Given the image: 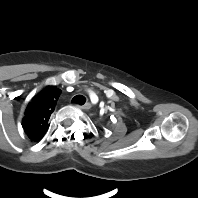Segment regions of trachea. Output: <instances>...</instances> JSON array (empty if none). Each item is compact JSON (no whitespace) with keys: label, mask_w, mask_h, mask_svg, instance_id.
I'll return each mask as SVG.
<instances>
[{"label":"trachea","mask_w":198,"mask_h":198,"mask_svg":"<svg viewBox=\"0 0 198 198\" xmlns=\"http://www.w3.org/2000/svg\"><path fill=\"white\" fill-rule=\"evenodd\" d=\"M86 102V98L82 95H76L72 99V103L83 105Z\"/></svg>","instance_id":"trachea-1"}]
</instances>
